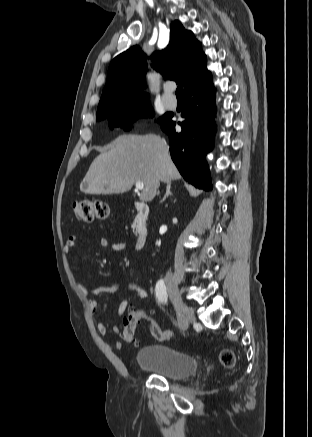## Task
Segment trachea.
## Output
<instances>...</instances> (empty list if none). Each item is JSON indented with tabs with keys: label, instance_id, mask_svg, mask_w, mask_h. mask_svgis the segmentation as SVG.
<instances>
[{
	"label": "trachea",
	"instance_id": "trachea-1",
	"mask_svg": "<svg viewBox=\"0 0 312 437\" xmlns=\"http://www.w3.org/2000/svg\"><path fill=\"white\" fill-rule=\"evenodd\" d=\"M176 96L177 97H183V86L179 85L176 89Z\"/></svg>",
	"mask_w": 312,
	"mask_h": 437
}]
</instances>
